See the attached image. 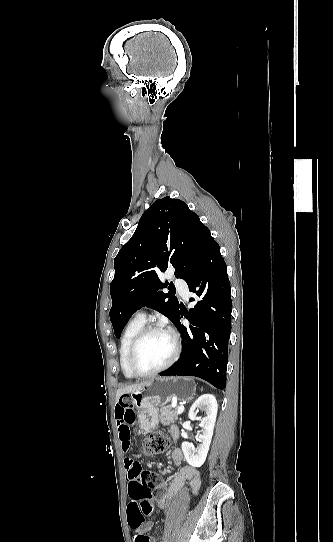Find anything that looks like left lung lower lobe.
Listing matches in <instances>:
<instances>
[{"instance_id":"0a47b994","label":"left lung lower lobe","mask_w":333,"mask_h":542,"mask_svg":"<svg viewBox=\"0 0 333 542\" xmlns=\"http://www.w3.org/2000/svg\"><path fill=\"white\" fill-rule=\"evenodd\" d=\"M197 299L190 313L179 311L175 326L182 337L177 362L161 376H196L220 390L226 387L228 341L231 332V287L217 242L211 238L195 272L185 280ZM185 316L192 324L183 326Z\"/></svg>"}]
</instances>
